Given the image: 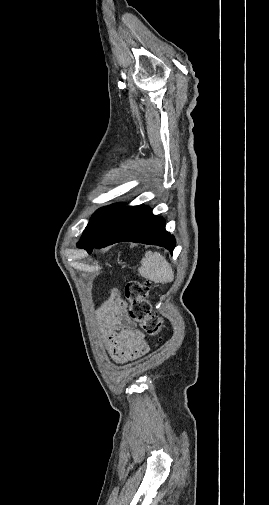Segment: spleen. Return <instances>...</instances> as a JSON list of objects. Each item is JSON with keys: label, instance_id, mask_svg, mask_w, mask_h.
<instances>
[{"label": "spleen", "instance_id": "1", "mask_svg": "<svg viewBox=\"0 0 269 505\" xmlns=\"http://www.w3.org/2000/svg\"><path fill=\"white\" fill-rule=\"evenodd\" d=\"M139 274L155 283H169L174 280V271L159 252H146L138 269Z\"/></svg>", "mask_w": 269, "mask_h": 505}]
</instances>
